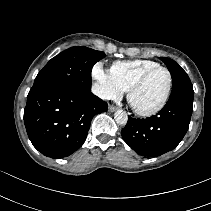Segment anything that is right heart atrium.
Returning <instances> with one entry per match:
<instances>
[{"instance_id": "1", "label": "right heart atrium", "mask_w": 211, "mask_h": 211, "mask_svg": "<svg viewBox=\"0 0 211 211\" xmlns=\"http://www.w3.org/2000/svg\"><path fill=\"white\" fill-rule=\"evenodd\" d=\"M93 78L96 80V93L103 99H117L123 94V90L114 80L111 72L96 64L92 70Z\"/></svg>"}]
</instances>
